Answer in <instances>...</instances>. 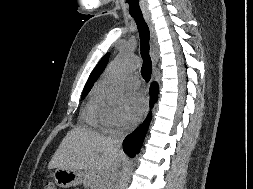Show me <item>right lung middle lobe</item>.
<instances>
[{"label":"right lung middle lobe","mask_w":253,"mask_h":189,"mask_svg":"<svg viewBox=\"0 0 253 189\" xmlns=\"http://www.w3.org/2000/svg\"><path fill=\"white\" fill-rule=\"evenodd\" d=\"M89 93V90H84L82 93V99Z\"/></svg>","instance_id":"right-lung-middle-lobe-1"}]
</instances>
